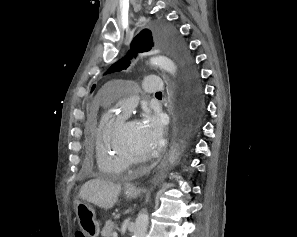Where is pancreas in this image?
Returning <instances> with one entry per match:
<instances>
[{
    "mask_svg": "<svg viewBox=\"0 0 297 237\" xmlns=\"http://www.w3.org/2000/svg\"><path fill=\"white\" fill-rule=\"evenodd\" d=\"M115 226L116 225L111 220H108L101 231V235L103 237H113Z\"/></svg>",
    "mask_w": 297,
    "mask_h": 237,
    "instance_id": "obj_1",
    "label": "pancreas"
}]
</instances>
